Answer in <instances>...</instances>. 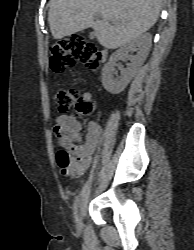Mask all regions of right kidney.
Listing matches in <instances>:
<instances>
[{"label": "right kidney", "instance_id": "right-kidney-1", "mask_svg": "<svg viewBox=\"0 0 194 250\" xmlns=\"http://www.w3.org/2000/svg\"><path fill=\"white\" fill-rule=\"evenodd\" d=\"M151 42L152 36L149 33L142 34L110 56L109 62L102 70V85L105 90L111 94H119L126 88L146 60L151 48ZM129 52H136L137 54L129 55ZM119 60H130V63L126 68H121V76L114 79V67Z\"/></svg>", "mask_w": 194, "mask_h": 250}]
</instances>
